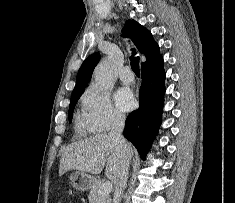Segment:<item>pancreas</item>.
I'll return each mask as SVG.
<instances>
[{
  "mask_svg": "<svg viewBox=\"0 0 235 203\" xmlns=\"http://www.w3.org/2000/svg\"><path fill=\"white\" fill-rule=\"evenodd\" d=\"M103 181L96 180L94 185L92 186L88 199L90 203H111V198L109 194L100 195L99 191L103 185Z\"/></svg>",
  "mask_w": 235,
  "mask_h": 203,
  "instance_id": "pancreas-1",
  "label": "pancreas"
}]
</instances>
